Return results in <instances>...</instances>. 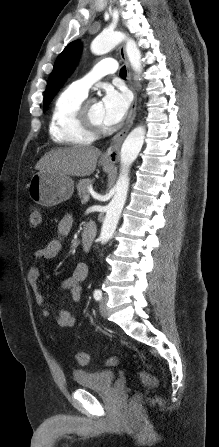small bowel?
I'll use <instances>...</instances> for the list:
<instances>
[{
	"instance_id": "1",
	"label": "small bowel",
	"mask_w": 219,
	"mask_h": 447,
	"mask_svg": "<svg viewBox=\"0 0 219 447\" xmlns=\"http://www.w3.org/2000/svg\"><path fill=\"white\" fill-rule=\"evenodd\" d=\"M73 227V217L65 215L58 223L57 230L60 236H66ZM63 244L58 239H53L49 243L37 249L34 258L37 261L49 260L56 258L62 251ZM88 276V266L85 263H78L74 266L70 275L62 282L61 288L67 291L74 302L81 299V283ZM40 270L37 266L32 267L27 274V283L31 288L34 299L37 304L44 303V296L39 286ZM43 317H49L50 311L43 309L41 311ZM76 317L70 311L62 309L56 317V324L61 327H70L75 324Z\"/></svg>"
}]
</instances>
